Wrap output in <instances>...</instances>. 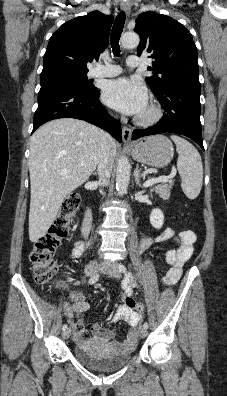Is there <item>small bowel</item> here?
Returning a JSON list of instances; mask_svg holds the SVG:
<instances>
[{
    "label": "small bowel",
    "instance_id": "c3829d8e",
    "mask_svg": "<svg viewBox=\"0 0 227 396\" xmlns=\"http://www.w3.org/2000/svg\"><path fill=\"white\" fill-rule=\"evenodd\" d=\"M170 238H174L177 241L178 246L170 249L166 253V262L169 265L163 279V282L166 285H173L180 279L182 267L193 253V245L196 241L194 232L191 230H183L176 233L173 229L167 228L156 236L144 235L140 242V248L144 250L150 247L153 242L165 241ZM82 252L83 244L81 242H77L72 251V257L78 258L82 255ZM124 292L125 294L122 297L123 303L116 309L113 320H123L129 323L132 326V329L129 331L125 340L120 342L114 340L116 332L113 328L106 329L98 325H92L90 329H86L82 315L89 309V303L82 292L76 290L70 291V298L74 303L68 312V316L70 318L77 319V323L73 329L74 339L77 343L84 344L86 342H93L100 345H108L115 350L130 349L134 347L137 342L136 327L142 321V314L126 304L127 299H133V283L131 280L125 282Z\"/></svg>",
    "mask_w": 227,
    "mask_h": 396
}]
</instances>
